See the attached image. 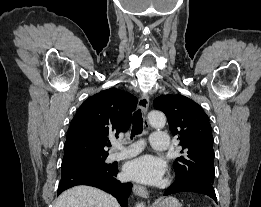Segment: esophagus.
Returning a JSON list of instances; mask_svg holds the SVG:
<instances>
[{
  "instance_id": "obj_1",
  "label": "esophagus",
  "mask_w": 261,
  "mask_h": 207,
  "mask_svg": "<svg viewBox=\"0 0 261 207\" xmlns=\"http://www.w3.org/2000/svg\"><path fill=\"white\" fill-rule=\"evenodd\" d=\"M137 107L143 113L145 126H148V121H147V117H146L147 112H148V107H149V97H148V95L144 94L139 98ZM133 192L136 195H138L142 198H148L149 197V193H148L147 189L144 186L139 185V184L133 185Z\"/></svg>"
}]
</instances>
